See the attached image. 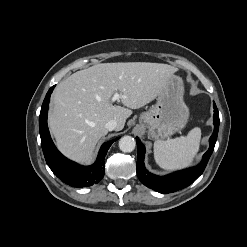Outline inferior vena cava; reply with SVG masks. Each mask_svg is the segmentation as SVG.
<instances>
[{
    "label": "inferior vena cava",
    "mask_w": 247,
    "mask_h": 247,
    "mask_svg": "<svg viewBox=\"0 0 247 247\" xmlns=\"http://www.w3.org/2000/svg\"><path fill=\"white\" fill-rule=\"evenodd\" d=\"M105 128L108 131H112V130H116L118 128V123L116 120H109L106 124H105Z\"/></svg>",
    "instance_id": "obj_1"
}]
</instances>
